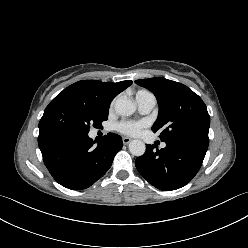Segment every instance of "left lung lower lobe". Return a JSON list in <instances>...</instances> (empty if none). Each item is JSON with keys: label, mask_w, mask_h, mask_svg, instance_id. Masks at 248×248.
<instances>
[{"label": "left lung lower lobe", "mask_w": 248, "mask_h": 248, "mask_svg": "<svg viewBox=\"0 0 248 248\" xmlns=\"http://www.w3.org/2000/svg\"><path fill=\"white\" fill-rule=\"evenodd\" d=\"M166 147L155 150L147 145L146 152L135 161L140 174L160 190L171 191L185 186L199 171L209 139L178 138L166 141Z\"/></svg>", "instance_id": "left-lung-lower-lobe-1"}]
</instances>
